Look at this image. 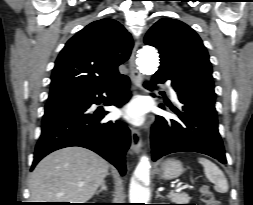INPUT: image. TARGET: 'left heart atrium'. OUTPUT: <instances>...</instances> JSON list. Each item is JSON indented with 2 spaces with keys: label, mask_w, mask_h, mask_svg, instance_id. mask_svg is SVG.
Segmentation results:
<instances>
[{
  "label": "left heart atrium",
  "mask_w": 253,
  "mask_h": 205,
  "mask_svg": "<svg viewBox=\"0 0 253 205\" xmlns=\"http://www.w3.org/2000/svg\"><path fill=\"white\" fill-rule=\"evenodd\" d=\"M120 114L130 123L140 125L144 122L146 108L142 101L134 99L121 110Z\"/></svg>",
  "instance_id": "left-heart-atrium-1"
}]
</instances>
